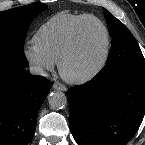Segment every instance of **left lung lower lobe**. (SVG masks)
<instances>
[{
    "instance_id": "left-lung-lower-lobe-1",
    "label": "left lung lower lobe",
    "mask_w": 145,
    "mask_h": 145,
    "mask_svg": "<svg viewBox=\"0 0 145 145\" xmlns=\"http://www.w3.org/2000/svg\"><path fill=\"white\" fill-rule=\"evenodd\" d=\"M69 124L79 145H126L145 114V69L71 87Z\"/></svg>"
}]
</instances>
